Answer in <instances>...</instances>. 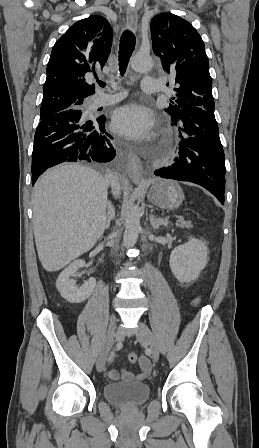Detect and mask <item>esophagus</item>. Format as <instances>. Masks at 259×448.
Instances as JSON below:
<instances>
[{"label":"esophagus","mask_w":259,"mask_h":448,"mask_svg":"<svg viewBox=\"0 0 259 448\" xmlns=\"http://www.w3.org/2000/svg\"><path fill=\"white\" fill-rule=\"evenodd\" d=\"M126 20L130 29L136 30L137 28V13L134 7H128L126 11ZM142 163L138 155L133 151L129 150L127 156V173L132 181L136 184L142 181Z\"/></svg>","instance_id":"obj_1"}]
</instances>
